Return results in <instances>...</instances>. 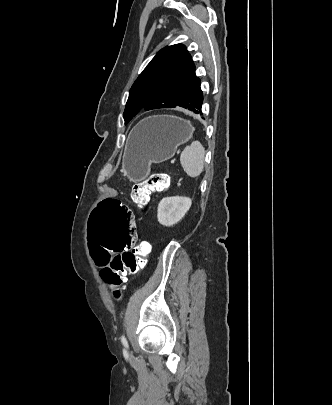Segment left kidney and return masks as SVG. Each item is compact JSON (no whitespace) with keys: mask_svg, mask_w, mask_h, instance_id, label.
Here are the masks:
<instances>
[{"mask_svg":"<svg viewBox=\"0 0 332 405\" xmlns=\"http://www.w3.org/2000/svg\"><path fill=\"white\" fill-rule=\"evenodd\" d=\"M192 200L187 197H165L158 205V222L164 226L178 223L190 209Z\"/></svg>","mask_w":332,"mask_h":405,"instance_id":"5707ae66","label":"left kidney"}]
</instances>
